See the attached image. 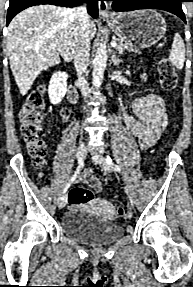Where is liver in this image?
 <instances>
[{"label": "liver", "instance_id": "liver-1", "mask_svg": "<svg viewBox=\"0 0 193 287\" xmlns=\"http://www.w3.org/2000/svg\"><path fill=\"white\" fill-rule=\"evenodd\" d=\"M88 32L93 39L94 21L90 20ZM76 39L77 23L72 9L39 5L19 13L8 26L7 49L20 94L28 93L43 70L60 63V56L70 61Z\"/></svg>", "mask_w": 193, "mask_h": 287}]
</instances>
